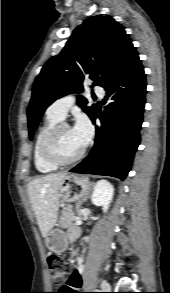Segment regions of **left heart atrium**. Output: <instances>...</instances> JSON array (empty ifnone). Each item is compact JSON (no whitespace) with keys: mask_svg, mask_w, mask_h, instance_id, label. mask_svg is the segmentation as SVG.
I'll return each instance as SVG.
<instances>
[{"mask_svg":"<svg viewBox=\"0 0 170 293\" xmlns=\"http://www.w3.org/2000/svg\"><path fill=\"white\" fill-rule=\"evenodd\" d=\"M72 131L80 145L85 146L91 136V125L87 119H80Z\"/></svg>","mask_w":170,"mask_h":293,"instance_id":"left-heart-atrium-1","label":"left heart atrium"}]
</instances>
